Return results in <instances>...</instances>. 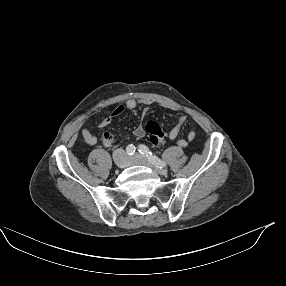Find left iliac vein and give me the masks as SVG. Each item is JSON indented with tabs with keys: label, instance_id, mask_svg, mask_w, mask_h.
Masks as SVG:
<instances>
[{
	"label": "left iliac vein",
	"instance_id": "1",
	"mask_svg": "<svg viewBox=\"0 0 286 286\" xmlns=\"http://www.w3.org/2000/svg\"><path fill=\"white\" fill-rule=\"evenodd\" d=\"M130 165H145L153 169L156 173L160 175H167L168 171L163 167H157L152 162H150L146 157L139 153H136L130 158Z\"/></svg>",
	"mask_w": 286,
	"mask_h": 286
}]
</instances>
